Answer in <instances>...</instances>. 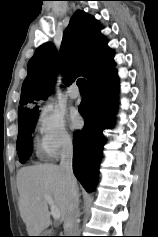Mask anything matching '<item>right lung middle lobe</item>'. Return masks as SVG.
<instances>
[{
    "instance_id": "1",
    "label": "right lung middle lobe",
    "mask_w": 158,
    "mask_h": 237,
    "mask_svg": "<svg viewBox=\"0 0 158 237\" xmlns=\"http://www.w3.org/2000/svg\"><path fill=\"white\" fill-rule=\"evenodd\" d=\"M19 132L17 138V151L21 163H25L32 153L31 134L34 130L36 115L19 118Z\"/></svg>"
}]
</instances>
